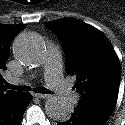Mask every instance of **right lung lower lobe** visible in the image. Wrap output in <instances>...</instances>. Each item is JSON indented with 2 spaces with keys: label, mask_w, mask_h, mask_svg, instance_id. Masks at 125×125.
Listing matches in <instances>:
<instances>
[{
  "label": "right lung lower lobe",
  "mask_w": 125,
  "mask_h": 125,
  "mask_svg": "<svg viewBox=\"0 0 125 125\" xmlns=\"http://www.w3.org/2000/svg\"><path fill=\"white\" fill-rule=\"evenodd\" d=\"M31 100L30 93L18 92L0 101V125H20Z\"/></svg>",
  "instance_id": "98d812e1"
}]
</instances>
